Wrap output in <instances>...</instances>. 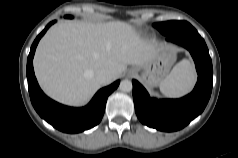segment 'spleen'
<instances>
[{
  "mask_svg": "<svg viewBox=\"0 0 238 158\" xmlns=\"http://www.w3.org/2000/svg\"><path fill=\"white\" fill-rule=\"evenodd\" d=\"M195 81L196 74L192 63L183 59L160 82V92L169 98L181 97L192 89Z\"/></svg>",
  "mask_w": 238,
  "mask_h": 158,
  "instance_id": "spleen-1",
  "label": "spleen"
}]
</instances>
